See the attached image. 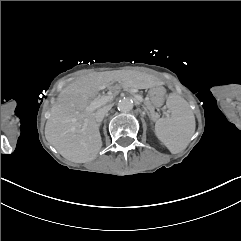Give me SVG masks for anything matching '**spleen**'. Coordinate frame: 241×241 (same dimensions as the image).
I'll list each match as a JSON object with an SVG mask.
<instances>
[{
	"label": "spleen",
	"instance_id": "obj_1",
	"mask_svg": "<svg viewBox=\"0 0 241 241\" xmlns=\"http://www.w3.org/2000/svg\"><path fill=\"white\" fill-rule=\"evenodd\" d=\"M169 118H160L155 123V134L158 139L176 154L184 150L195 131V118L186 103L177 94L169 96Z\"/></svg>",
	"mask_w": 241,
	"mask_h": 241
}]
</instances>
